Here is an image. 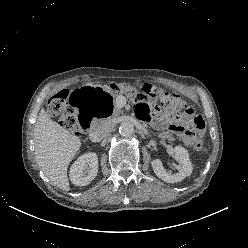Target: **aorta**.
I'll return each instance as SVG.
<instances>
[{"label":"aorta","instance_id":"762f6f07","mask_svg":"<svg viewBox=\"0 0 248 248\" xmlns=\"http://www.w3.org/2000/svg\"><path fill=\"white\" fill-rule=\"evenodd\" d=\"M119 133L122 136H131L134 133V125L130 121H124L119 126Z\"/></svg>","mask_w":248,"mask_h":248}]
</instances>
